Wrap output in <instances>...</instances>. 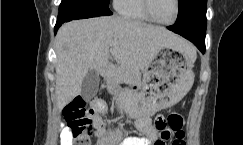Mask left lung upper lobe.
I'll list each match as a JSON object with an SVG mask.
<instances>
[{
  "label": "left lung upper lobe",
  "mask_w": 243,
  "mask_h": 145,
  "mask_svg": "<svg viewBox=\"0 0 243 145\" xmlns=\"http://www.w3.org/2000/svg\"><path fill=\"white\" fill-rule=\"evenodd\" d=\"M178 15L184 16V20L194 21L204 32H206L207 0H178Z\"/></svg>",
  "instance_id": "left-lung-upper-lobe-1"
}]
</instances>
